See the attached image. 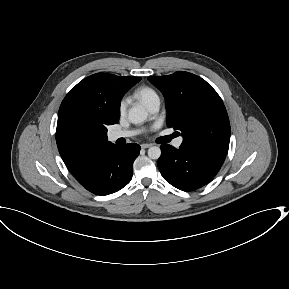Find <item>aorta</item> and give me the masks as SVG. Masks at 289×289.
<instances>
[{"instance_id":"1","label":"aorta","mask_w":289,"mask_h":289,"mask_svg":"<svg viewBox=\"0 0 289 289\" xmlns=\"http://www.w3.org/2000/svg\"><path fill=\"white\" fill-rule=\"evenodd\" d=\"M148 116L147 110L143 106H134L129 109L128 118L133 124L143 123ZM148 156L151 159H158L161 156V149L158 146H152L148 149Z\"/></svg>"}]
</instances>
